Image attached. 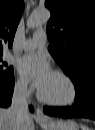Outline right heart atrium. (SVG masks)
<instances>
[{
  "instance_id": "obj_1",
  "label": "right heart atrium",
  "mask_w": 95,
  "mask_h": 130,
  "mask_svg": "<svg viewBox=\"0 0 95 130\" xmlns=\"http://www.w3.org/2000/svg\"><path fill=\"white\" fill-rule=\"evenodd\" d=\"M14 91L17 95L26 97L31 94L32 89L25 79L18 77L14 83Z\"/></svg>"
}]
</instances>
